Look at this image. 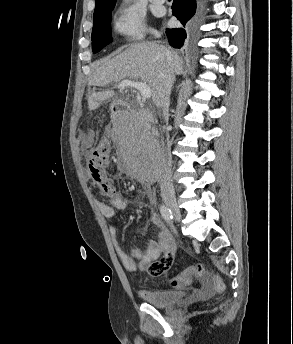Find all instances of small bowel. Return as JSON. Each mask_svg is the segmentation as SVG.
Wrapping results in <instances>:
<instances>
[{
  "instance_id": "small-bowel-1",
  "label": "small bowel",
  "mask_w": 293,
  "mask_h": 344,
  "mask_svg": "<svg viewBox=\"0 0 293 344\" xmlns=\"http://www.w3.org/2000/svg\"><path fill=\"white\" fill-rule=\"evenodd\" d=\"M79 143L83 150H87L90 146V139L85 135L79 136ZM126 206L124 198L118 194L112 197L110 204L99 203L100 212L108 219L115 216L116 209H123ZM150 222L155 225L158 231V240H149L143 248H133L129 253L119 243L118 228L112 226L109 228V233L113 241L115 252L124 265V267L131 271H147L151 276H159L166 273L174 259L176 245L171 237L169 231L163 226L157 214L150 216ZM199 281V287L194 288L191 294V300H199L213 295L216 291L214 282L209 275L196 276ZM191 282V279L183 288Z\"/></svg>"
}]
</instances>
